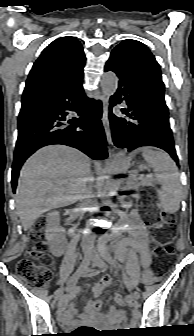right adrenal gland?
<instances>
[{
	"mask_svg": "<svg viewBox=\"0 0 194 336\" xmlns=\"http://www.w3.org/2000/svg\"><path fill=\"white\" fill-rule=\"evenodd\" d=\"M93 182H94L93 179H90V180H89V186H88V188H87L88 191H89V190H92Z\"/></svg>",
	"mask_w": 194,
	"mask_h": 336,
	"instance_id": "1",
	"label": "right adrenal gland"
}]
</instances>
